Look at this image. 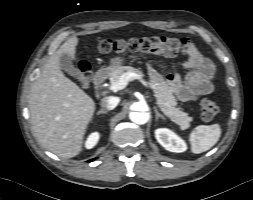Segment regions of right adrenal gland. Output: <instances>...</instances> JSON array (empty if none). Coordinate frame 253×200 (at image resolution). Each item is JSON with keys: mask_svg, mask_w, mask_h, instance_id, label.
I'll return each mask as SVG.
<instances>
[{"mask_svg": "<svg viewBox=\"0 0 253 200\" xmlns=\"http://www.w3.org/2000/svg\"><path fill=\"white\" fill-rule=\"evenodd\" d=\"M97 114L99 115V114H107V111H105V110H99L98 112H97Z\"/></svg>", "mask_w": 253, "mask_h": 200, "instance_id": "right-adrenal-gland-1", "label": "right adrenal gland"}]
</instances>
